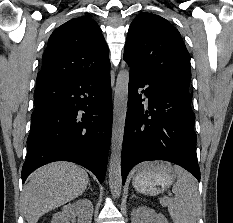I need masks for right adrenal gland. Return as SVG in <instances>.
<instances>
[{
	"label": "right adrenal gland",
	"mask_w": 233,
	"mask_h": 223,
	"mask_svg": "<svg viewBox=\"0 0 233 223\" xmlns=\"http://www.w3.org/2000/svg\"><path fill=\"white\" fill-rule=\"evenodd\" d=\"M89 189H91V185H90V183H89Z\"/></svg>",
	"instance_id": "1"
}]
</instances>
